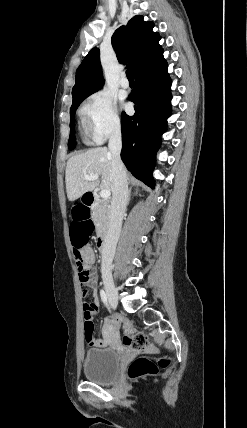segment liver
Segmentation results:
<instances>
[{"instance_id":"obj_1","label":"liver","mask_w":247,"mask_h":428,"mask_svg":"<svg viewBox=\"0 0 247 428\" xmlns=\"http://www.w3.org/2000/svg\"><path fill=\"white\" fill-rule=\"evenodd\" d=\"M85 175H98V180H85ZM66 191L69 201H75L83 194L93 191L99 184L102 190L112 191V156L105 147L89 149L69 158L65 174Z\"/></svg>"}]
</instances>
